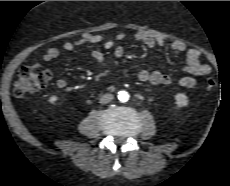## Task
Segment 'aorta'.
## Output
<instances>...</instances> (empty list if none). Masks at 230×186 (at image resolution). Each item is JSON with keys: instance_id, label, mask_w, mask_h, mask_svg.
<instances>
[{"instance_id": "aorta-1", "label": "aorta", "mask_w": 230, "mask_h": 186, "mask_svg": "<svg viewBox=\"0 0 230 186\" xmlns=\"http://www.w3.org/2000/svg\"><path fill=\"white\" fill-rule=\"evenodd\" d=\"M118 99L121 102H126L129 100V94L126 91H119L118 92Z\"/></svg>"}]
</instances>
